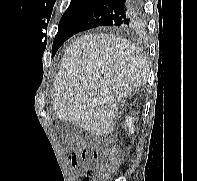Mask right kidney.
I'll list each match as a JSON object with an SVG mask.
<instances>
[{"label":"right kidney","mask_w":197,"mask_h":181,"mask_svg":"<svg viewBox=\"0 0 197 181\" xmlns=\"http://www.w3.org/2000/svg\"><path fill=\"white\" fill-rule=\"evenodd\" d=\"M134 118H132V117H126V124H125V127H128V130H129V133H134V125H133V123H134Z\"/></svg>","instance_id":"obj_1"}]
</instances>
